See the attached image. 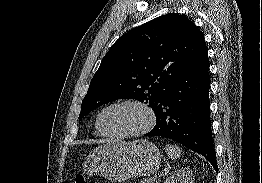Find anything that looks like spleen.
I'll list each match as a JSON object with an SVG mask.
<instances>
[{
  "instance_id": "3e777b00",
  "label": "spleen",
  "mask_w": 262,
  "mask_h": 183,
  "mask_svg": "<svg viewBox=\"0 0 262 183\" xmlns=\"http://www.w3.org/2000/svg\"><path fill=\"white\" fill-rule=\"evenodd\" d=\"M165 150L169 156V158L175 160L177 158L180 157L182 150L176 146V145H172V144H167L165 147Z\"/></svg>"
}]
</instances>
